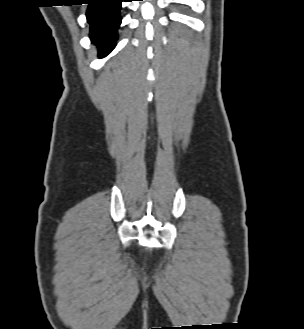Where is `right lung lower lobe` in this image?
<instances>
[{"label":"right lung lower lobe","mask_w":304,"mask_h":329,"mask_svg":"<svg viewBox=\"0 0 304 329\" xmlns=\"http://www.w3.org/2000/svg\"><path fill=\"white\" fill-rule=\"evenodd\" d=\"M122 1L124 0H89L86 16L90 24V38L98 46L100 58L108 55L116 45Z\"/></svg>","instance_id":"1"}]
</instances>
